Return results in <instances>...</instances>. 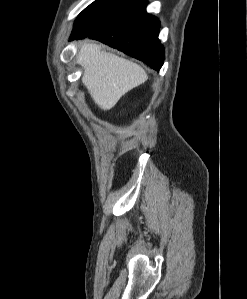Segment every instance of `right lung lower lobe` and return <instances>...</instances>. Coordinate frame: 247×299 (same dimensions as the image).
Here are the masks:
<instances>
[{
	"label": "right lung lower lobe",
	"instance_id": "right-lung-lower-lobe-1",
	"mask_svg": "<svg viewBox=\"0 0 247 299\" xmlns=\"http://www.w3.org/2000/svg\"><path fill=\"white\" fill-rule=\"evenodd\" d=\"M147 0H137L132 8L119 20L82 36L101 41L113 48L143 61L155 70L163 65L164 48L158 39L160 22L146 12Z\"/></svg>",
	"mask_w": 247,
	"mask_h": 299
}]
</instances>
